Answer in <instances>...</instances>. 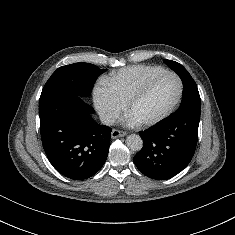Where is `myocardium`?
<instances>
[{
  "label": "myocardium",
  "instance_id": "1",
  "mask_svg": "<svg viewBox=\"0 0 235 235\" xmlns=\"http://www.w3.org/2000/svg\"><path fill=\"white\" fill-rule=\"evenodd\" d=\"M164 76H171L173 78L176 79L177 83H178V93L177 96L174 100V102L172 103V105L161 115L150 119V120H146V121H139V122H135L137 126L140 127H152L154 125H157L161 122H163L164 120H166L168 117H170L178 108L181 100H182V96H183V91H184V85H183V81L182 79L174 72L172 71H162L159 73H156L152 76H150L141 86L140 88L129 98V100L127 101L126 105H125V110L127 115L130 116V111L133 108V106L141 99L143 98V96L147 93V91L149 90L150 86L153 84L154 81H156L157 79L164 77Z\"/></svg>",
  "mask_w": 235,
  "mask_h": 235
}]
</instances>
